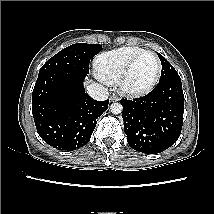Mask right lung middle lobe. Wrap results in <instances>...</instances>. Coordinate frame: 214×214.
I'll return each instance as SVG.
<instances>
[{
	"mask_svg": "<svg viewBox=\"0 0 214 214\" xmlns=\"http://www.w3.org/2000/svg\"><path fill=\"white\" fill-rule=\"evenodd\" d=\"M102 50L99 44L76 43L58 52L40 69L39 75L53 70L89 73V62Z\"/></svg>",
	"mask_w": 214,
	"mask_h": 214,
	"instance_id": "obj_1",
	"label": "right lung middle lobe"
}]
</instances>
